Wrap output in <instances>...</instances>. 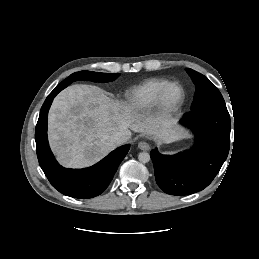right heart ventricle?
I'll use <instances>...</instances> for the list:
<instances>
[{
	"instance_id": "obj_1",
	"label": "right heart ventricle",
	"mask_w": 259,
	"mask_h": 259,
	"mask_svg": "<svg viewBox=\"0 0 259 259\" xmlns=\"http://www.w3.org/2000/svg\"><path fill=\"white\" fill-rule=\"evenodd\" d=\"M168 80L163 78H151L135 86L127 93V101L131 110L135 112H147L157 105L161 89Z\"/></svg>"
}]
</instances>
